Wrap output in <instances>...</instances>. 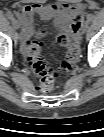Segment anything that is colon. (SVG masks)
<instances>
[{"label":"colon","mask_w":104,"mask_h":137,"mask_svg":"<svg viewBox=\"0 0 104 137\" xmlns=\"http://www.w3.org/2000/svg\"><path fill=\"white\" fill-rule=\"evenodd\" d=\"M58 43L66 48L65 59L61 63V68L64 71H69L73 68L79 58L80 50L78 43L70 39L66 34H60L57 38ZM28 64L31 69L40 77L39 89L42 92H49L53 89L57 74L50 70L41 53V45L37 41L28 44L26 50Z\"/></svg>","instance_id":"colon-1"}]
</instances>
